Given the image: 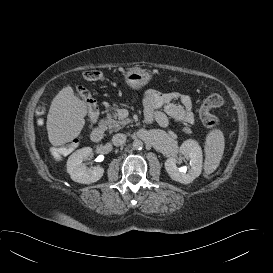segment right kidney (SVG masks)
I'll use <instances>...</instances> for the list:
<instances>
[{"mask_svg": "<svg viewBox=\"0 0 273 273\" xmlns=\"http://www.w3.org/2000/svg\"><path fill=\"white\" fill-rule=\"evenodd\" d=\"M92 155V148L84 147L71 154L67 161V172L71 179L78 183L90 184L97 182L104 173L102 167L88 168L83 163Z\"/></svg>", "mask_w": 273, "mask_h": 273, "instance_id": "ca27d5eb", "label": "right kidney"}]
</instances>
